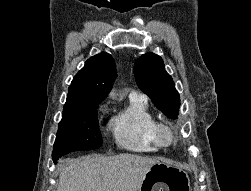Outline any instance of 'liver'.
<instances>
[{
    "label": "liver",
    "mask_w": 251,
    "mask_h": 191,
    "mask_svg": "<svg viewBox=\"0 0 251 191\" xmlns=\"http://www.w3.org/2000/svg\"><path fill=\"white\" fill-rule=\"evenodd\" d=\"M57 191H139L147 171L158 157L119 153L110 157L86 155L82 159H59Z\"/></svg>",
    "instance_id": "obj_1"
}]
</instances>
